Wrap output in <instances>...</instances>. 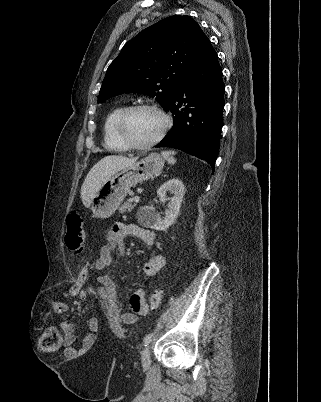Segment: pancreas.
<instances>
[{"label":"pancreas","instance_id":"1","mask_svg":"<svg viewBox=\"0 0 321 402\" xmlns=\"http://www.w3.org/2000/svg\"><path fill=\"white\" fill-rule=\"evenodd\" d=\"M133 199L127 200L124 204L121 205L119 208V213L123 214L126 212H131L132 209L136 206L135 203H133Z\"/></svg>","mask_w":321,"mask_h":402}]
</instances>
